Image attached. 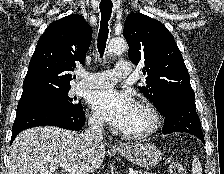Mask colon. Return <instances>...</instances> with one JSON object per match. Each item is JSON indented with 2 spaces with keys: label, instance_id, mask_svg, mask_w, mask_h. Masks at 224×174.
I'll use <instances>...</instances> for the list:
<instances>
[{
  "label": "colon",
  "instance_id": "1",
  "mask_svg": "<svg viewBox=\"0 0 224 174\" xmlns=\"http://www.w3.org/2000/svg\"><path fill=\"white\" fill-rule=\"evenodd\" d=\"M168 173L169 174H187L184 166L177 161H172L168 165Z\"/></svg>",
  "mask_w": 224,
  "mask_h": 174
}]
</instances>
